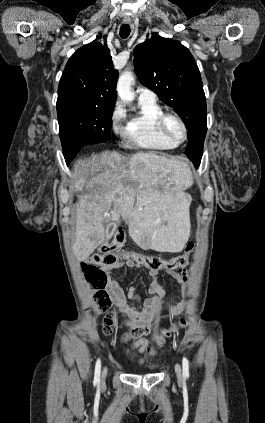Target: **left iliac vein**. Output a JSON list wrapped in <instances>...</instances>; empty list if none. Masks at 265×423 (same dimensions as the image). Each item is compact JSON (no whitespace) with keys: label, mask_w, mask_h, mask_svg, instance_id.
<instances>
[{"label":"left iliac vein","mask_w":265,"mask_h":423,"mask_svg":"<svg viewBox=\"0 0 265 423\" xmlns=\"http://www.w3.org/2000/svg\"><path fill=\"white\" fill-rule=\"evenodd\" d=\"M175 372H176L178 380L181 381L182 380V369H181V366L179 364L175 365Z\"/></svg>","instance_id":"obj_1"}]
</instances>
